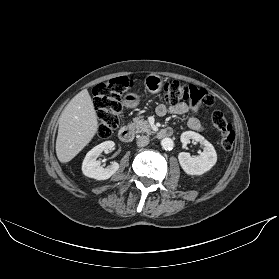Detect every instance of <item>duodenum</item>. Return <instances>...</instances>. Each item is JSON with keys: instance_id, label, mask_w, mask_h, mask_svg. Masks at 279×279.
Returning a JSON list of instances; mask_svg holds the SVG:
<instances>
[{"instance_id": "obj_1", "label": "duodenum", "mask_w": 279, "mask_h": 279, "mask_svg": "<svg viewBox=\"0 0 279 279\" xmlns=\"http://www.w3.org/2000/svg\"><path fill=\"white\" fill-rule=\"evenodd\" d=\"M173 134L174 132L171 128H164L157 133V138L158 139L170 138L173 136ZM118 137L122 142L128 143L133 140L134 132L131 128L124 126L119 129Z\"/></svg>"}]
</instances>
